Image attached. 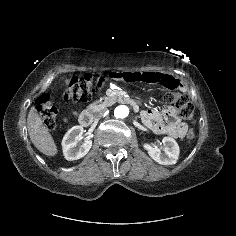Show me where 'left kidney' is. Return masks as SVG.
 Listing matches in <instances>:
<instances>
[{
  "mask_svg": "<svg viewBox=\"0 0 236 236\" xmlns=\"http://www.w3.org/2000/svg\"><path fill=\"white\" fill-rule=\"evenodd\" d=\"M162 142L164 145L163 153L158 147H153L148 143L143 144V147L148 151L150 157L157 163L162 165L175 164L180 152L178 143L171 137H164Z\"/></svg>",
  "mask_w": 236,
  "mask_h": 236,
  "instance_id": "left-kidney-1",
  "label": "left kidney"
}]
</instances>
